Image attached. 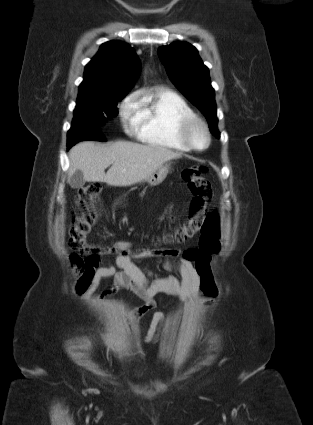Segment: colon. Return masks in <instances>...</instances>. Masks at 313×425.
I'll return each mask as SVG.
<instances>
[{
	"mask_svg": "<svg viewBox=\"0 0 313 425\" xmlns=\"http://www.w3.org/2000/svg\"><path fill=\"white\" fill-rule=\"evenodd\" d=\"M206 167L193 165L182 171L181 177L192 194L187 220L172 233L163 236L164 242H184L201 233L197 248H189L183 257L193 263L200 277V291L207 298H214L218 288L210 271V255L220 250V219L216 213H207L206 203L212 197L210 180L205 176ZM101 187L89 184L79 191L80 212L70 231L71 260L80 275L93 269L100 256H109L117 250L109 246L93 245L88 235L99 215Z\"/></svg>",
	"mask_w": 313,
	"mask_h": 425,
	"instance_id": "1",
	"label": "colon"
}]
</instances>
